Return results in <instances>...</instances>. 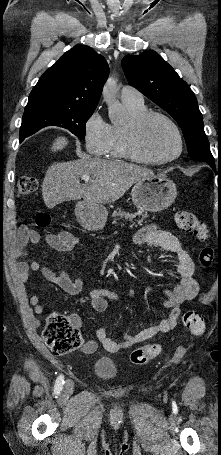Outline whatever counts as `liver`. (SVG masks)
<instances>
[{
  "instance_id": "liver-1",
  "label": "liver",
  "mask_w": 221,
  "mask_h": 455,
  "mask_svg": "<svg viewBox=\"0 0 221 455\" xmlns=\"http://www.w3.org/2000/svg\"><path fill=\"white\" fill-rule=\"evenodd\" d=\"M67 144L65 137H57L51 151H61ZM84 174L90 176L89 182L80 184V177ZM153 175L148 168L97 158L55 162L46 171L41 186L42 197L49 209L81 198L91 204L109 203L121 198L137 181Z\"/></svg>"
}]
</instances>
